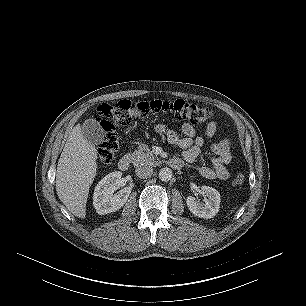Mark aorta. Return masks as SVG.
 Masks as SVG:
<instances>
[{
	"label": "aorta",
	"instance_id": "1",
	"mask_svg": "<svg viewBox=\"0 0 306 306\" xmlns=\"http://www.w3.org/2000/svg\"><path fill=\"white\" fill-rule=\"evenodd\" d=\"M172 176H173V172L170 168L165 167V168L160 169L159 171V179L161 181H165V182L169 181L171 180Z\"/></svg>",
	"mask_w": 306,
	"mask_h": 306
}]
</instances>
